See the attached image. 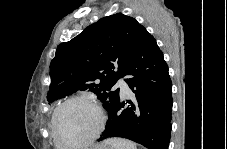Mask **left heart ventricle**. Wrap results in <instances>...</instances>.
Listing matches in <instances>:
<instances>
[{
	"label": "left heart ventricle",
	"mask_w": 227,
	"mask_h": 149,
	"mask_svg": "<svg viewBox=\"0 0 227 149\" xmlns=\"http://www.w3.org/2000/svg\"><path fill=\"white\" fill-rule=\"evenodd\" d=\"M98 123V115L93 107L84 103L65 106L57 118L58 136L62 143H75L92 134Z\"/></svg>",
	"instance_id": "obj_1"
}]
</instances>
